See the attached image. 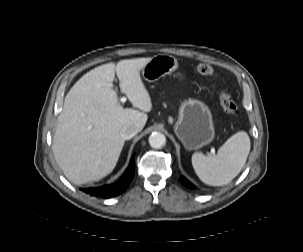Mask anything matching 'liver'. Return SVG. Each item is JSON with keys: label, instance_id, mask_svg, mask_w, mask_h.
Returning a JSON list of instances; mask_svg holds the SVG:
<instances>
[{"label": "liver", "instance_id": "1", "mask_svg": "<svg viewBox=\"0 0 303 252\" xmlns=\"http://www.w3.org/2000/svg\"><path fill=\"white\" fill-rule=\"evenodd\" d=\"M152 58L107 63L84 74L67 93L53 138L55 160L69 181H97L115 168L124 146L120 130L141 131L152 109L140 71ZM116 75L121 92L138 110L123 108L112 88Z\"/></svg>", "mask_w": 303, "mask_h": 252}]
</instances>
